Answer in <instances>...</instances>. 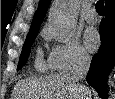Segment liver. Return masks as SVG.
<instances>
[{"label":"liver","mask_w":115,"mask_h":99,"mask_svg":"<svg viewBox=\"0 0 115 99\" xmlns=\"http://www.w3.org/2000/svg\"><path fill=\"white\" fill-rule=\"evenodd\" d=\"M88 89V88H87ZM70 74L32 77L16 83L12 99H90Z\"/></svg>","instance_id":"obj_1"}]
</instances>
